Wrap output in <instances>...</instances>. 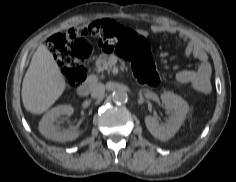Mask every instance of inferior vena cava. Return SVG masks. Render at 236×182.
Masks as SVG:
<instances>
[{
    "instance_id": "obj_1",
    "label": "inferior vena cava",
    "mask_w": 236,
    "mask_h": 182,
    "mask_svg": "<svg viewBox=\"0 0 236 182\" xmlns=\"http://www.w3.org/2000/svg\"><path fill=\"white\" fill-rule=\"evenodd\" d=\"M105 92V85L102 83H96L91 87V97L92 98H99Z\"/></svg>"
}]
</instances>
